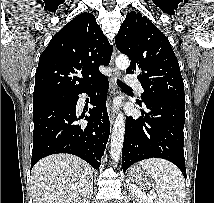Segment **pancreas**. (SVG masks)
<instances>
[{
  "label": "pancreas",
  "instance_id": "obj_1",
  "mask_svg": "<svg viewBox=\"0 0 214 203\" xmlns=\"http://www.w3.org/2000/svg\"><path fill=\"white\" fill-rule=\"evenodd\" d=\"M133 198L137 203H154L152 200L140 199L138 195L133 191ZM135 203V202H134Z\"/></svg>",
  "mask_w": 214,
  "mask_h": 203
}]
</instances>
